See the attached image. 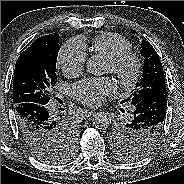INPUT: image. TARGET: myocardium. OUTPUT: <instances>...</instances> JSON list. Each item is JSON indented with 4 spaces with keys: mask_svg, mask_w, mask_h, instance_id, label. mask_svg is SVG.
<instances>
[{
    "mask_svg": "<svg viewBox=\"0 0 184 184\" xmlns=\"http://www.w3.org/2000/svg\"><path fill=\"white\" fill-rule=\"evenodd\" d=\"M109 72L126 85H132L138 78L142 61L133 51H127L107 61Z\"/></svg>",
    "mask_w": 184,
    "mask_h": 184,
    "instance_id": "1",
    "label": "myocardium"
}]
</instances>
